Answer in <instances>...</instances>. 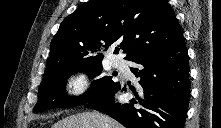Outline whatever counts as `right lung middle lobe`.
<instances>
[{"instance_id": "1", "label": "right lung middle lobe", "mask_w": 221, "mask_h": 128, "mask_svg": "<svg viewBox=\"0 0 221 128\" xmlns=\"http://www.w3.org/2000/svg\"><path fill=\"white\" fill-rule=\"evenodd\" d=\"M102 61L76 60L46 68L39 87L38 102L33 111H44L52 108L74 107L102 97L116 88L119 83L106 76L95 80L90 89L82 96L69 97L64 93L66 79L77 72H84L94 78L102 72Z\"/></svg>"}]
</instances>
